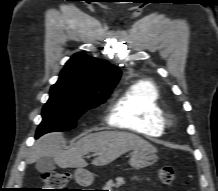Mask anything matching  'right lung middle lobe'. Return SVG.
Listing matches in <instances>:
<instances>
[{"label": "right lung middle lobe", "instance_id": "right-lung-middle-lobe-1", "mask_svg": "<svg viewBox=\"0 0 218 191\" xmlns=\"http://www.w3.org/2000/svg\"><path fill=\"white\" fill-rule=\"evenodd\" d=\"M109 95H81L53 85L50 98L42 110L43 120L38 126L36 137L52 132L67 131L76 127L77 119L87 110L104 103Z\"/></svg>", "mask_w": 218, "mask_h": 191}]
</instances>
